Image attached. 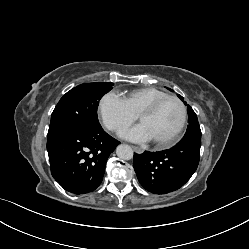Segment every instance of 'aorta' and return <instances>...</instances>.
Returning a JSON list of instances; mask_svg holds the SVG:
<instances>
[{"label": "aorta", "instance_id": "aorta-1", "mask_svg": "<svg viewBox=\"0 0 249 249\" xmlns=\"http://www.w3.org/2000/svg\"><path fill=\"white\" fill-rule=\"evenodd\" d=\"M116 154L120 159L131 160L133 158V150L127 144H121L116 148Z\"/></svg>", "mask_w": 249, "mask_h": 249}]
</instances>
